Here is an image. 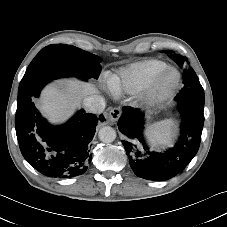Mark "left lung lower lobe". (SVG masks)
Segmentation results:
<instances>
[{
	"mask_svg": "<svg viewBox=\"0 0 227 227\" xmlns=\"http://www.w3.org/2000/svg\"><path fill=\"white\" fill-rule=\"evenodd\" d=\"M182 117L181 136L174 148L154 152L144 137V113L129 106L123 108L118 121L119 130L126 138L122 141L134 173L147 180H167L182 171L196 155L204 124V99L177 98Z\"/></svg>",
	"mask_w": 227,
	"mask_h": 227,
	"instance_id": "1",
	"label": "left lung lower lobe"
}]
</instances>
